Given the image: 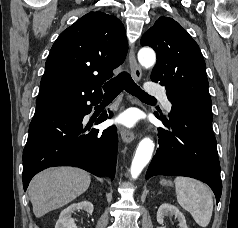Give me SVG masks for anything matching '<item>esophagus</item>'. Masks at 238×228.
I'll list each match as a JSON object with an SVG mask.
<instances>
[{
  "instance_id": "34e87169",
  "label": "esophagus",
  "mask_w": 238,
  "mask_h": 228,
  "mask_svg": "<svg viewBox=\"0 0 238 228\" xmlns=\"http://www.w3.org/2000/svg\"><path fill=\"white\" fill-rule=\"evenodd\" d=\"M129 65H130L132 76L136 80H140L142 76V70L140 65L137 63L134 48H132L129 52ZM119 130H120L121 138L125 143H130L134 140L135 133L133 131L126 129L124 127H121Z\"/></svg>"
}]
</instances>
